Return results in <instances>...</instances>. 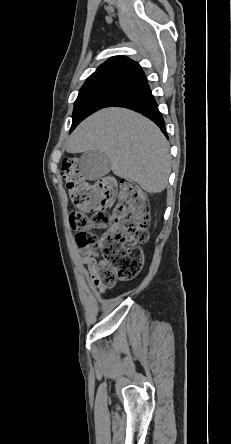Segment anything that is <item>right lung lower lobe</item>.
Returning <instances> with one entry per match:
<instances>
[{"instance_id": "obj_1", "label": "right lung lower lobe", "mask_w": 231, "mask_h": 444, "mask_svg": "<svg viewBox=\"0 0 231 444\" xmlns=\"http://www.w3.org/2000/svg\"><path fill=\"white\" fill-rule=\"evenodd\" d=\"M111 106L125 107L143 114L159 126L167 137L165 122L148 84L128 92Z\"/></svg>"}]
</instances>
